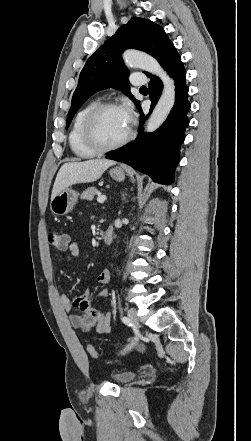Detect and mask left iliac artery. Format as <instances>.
I'll list each match as a JSON object with an SVG mask.
<instances>
[{"instance_id":"obj_1","label":"left iliac artery","mask_w":251,"mask_h":441,"mask_svg":"<svg viewBox=\"0 0 251 441\" xmlns=\"http://www.w3.org/2000/svg\"><path fill=\"white\" fill-rule=\"evenodd\" d=\"M122 322L128 326L132 325V322L130 321V319L126 316L122 317Z\"/></svg>"}]
</instances>
